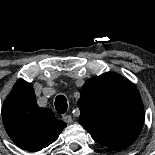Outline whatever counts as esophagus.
I'll use <instances>...</instances> for the list:
<instances>
[{"label": "esophagus", "mask_w": 155, "mask_h": 155, "mask_svg": "<svg viewBox=\"0 0 155 155\" xmlns=\"http://www.w3.org/2000/svg\"><path fill=\"white\" fill-rule=\"evenodd\" d=\"M62 119H63L64 122H66L68 124L73 122V118L70 115H63Z\"/></svg>", "instance_id": "esophagus-1"}]
</instances>
